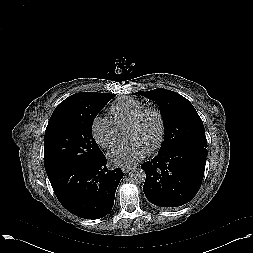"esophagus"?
<instances>
[{
    "label": "esophagus",
    "instance_id": "1",
    "mask_svg": "<svg viewBox=\"0 0 253 253\" xmlns=\"http://www.w3.org/2000/svg\"><path fill=\"white\" fill-rule=\"evenodd\" d=\"M132 169H133V167H131V166H123V167H122V171H123L124 173L130 172Z\"/></svg>",
    "mask_w": 253,
    "mask_h": 253
}]
</instances>
